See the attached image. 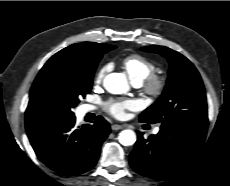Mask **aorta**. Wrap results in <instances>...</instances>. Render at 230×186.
Returning <instances> with one entry per match:
<instances>
[{"instance_id":"762f6f07","label":"aorta","mask_w":230,"mask_h":186,"mask_svg":"<svg viewBox=\"0 0 230 186\" xmlns=\"http://www.w3.org/2000/svg\"><path fill=\"white\" fill-rule=\"evenodd\" d=\"M105 89L112 94H122L128 90L126 77L121 73H111L104 79ZM119 142L123 146H131L136 142V134L133 130L126 129L119 133Z\"/></svg>"}]
</instances>
